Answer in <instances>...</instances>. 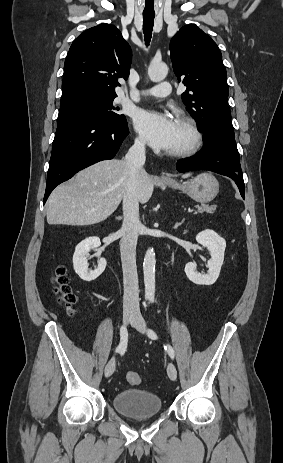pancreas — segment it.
<instances>
[{
  "instance_id": "cf45deb5",
  "label": "pancreas",
  "mask_w": 283,
  "mask_h": 463,
  "mask_svg": "<svg viewBox=\"0 0 283 463\" xmlns=\"http://www.w3.org/2000/svg\"><path fill=\"white\" fill-rule=\"evenodd\" d=\"M196 208H197V211L195 212L196 214L204 213V212L213 213L216 210L215 205H212V206L202 205V206H196Z\"/></svg>"
}]
</instances>
